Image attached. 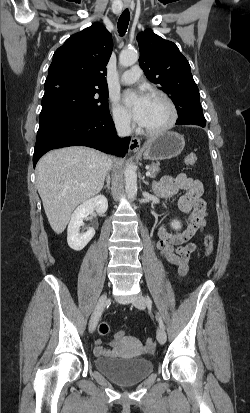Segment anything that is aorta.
I'll return each mask as SVG.
<instances>
[{
	"mask_svg": "<svg viewBox=\"0 0 250 413\" xmlns=\"http://www.w3.org/2000/svg\"><path fill=\"white\" fill-rule=\"evenodd\" d=\"M138 60V53L135 50H124L119 56V64L124 67L135 64ZM125 190L130 199H135L137 194V174L133 164L129 163L124 172Z\"/></svg>",
	"mask_w": 250,
	"mask_h": 413,
	"instance_id": "aorta-1",
	"label": "aorta"
}]
</instances>
